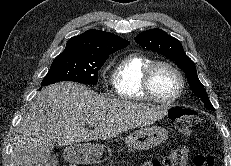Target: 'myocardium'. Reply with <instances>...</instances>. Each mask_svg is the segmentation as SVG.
<instances>
[{
    "mask_svg": "<svg viewBox=\"0 0 231 166\" xmlns=\"http://www.w3.org/2000/svg\"><path fill=\"white\" fill-rule=\"evenodd\" d=\"M159 66H166L170 68L176 74L178 81H179V87H178L177 92L171 98H168V99H163V98L158 97L152 87V77H153L154 71ZM142 88L146 96L152 101L160 103V104H164V105H169V104L174 103L176 100H178L180 96L182 95L184 88H185V78H184L182 71L172 62H169L166 60H157V61H153L145 69L143 78H142Z\"/></svg>",
    "mask_w": 231,
    "mask_h": 166,
    "instance_id": "1",
    "label": "myocardium"
}]
</instances>
